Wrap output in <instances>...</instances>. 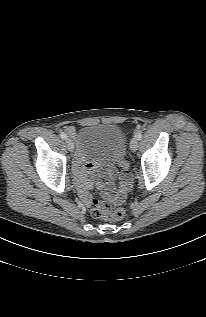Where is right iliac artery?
<instances>
[{"label": "right iliac artery", "instance_id": "obj_1", "mask_svg": "<svg viewBox=\"0 0 206 317\" xmlns=\"http://www.w3.org/2000/svg\"><path fill=\"white\" fill-rule=\"evenodd\" d=\"M60 137H61L62 139H67V135H66L65 133H61V134H60Z\"/></svg>", "mask_w": 206, "mask_h": 317}]
</instances>
